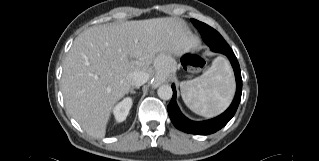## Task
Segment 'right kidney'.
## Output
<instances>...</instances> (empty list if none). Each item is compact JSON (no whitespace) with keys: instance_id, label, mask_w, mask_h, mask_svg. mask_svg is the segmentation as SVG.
<instances>
[{"instance_id":"ca27d5eb","label":"right kidney","mask_w":319,"mask_h":161,"mask_svg":"<svg viewBox=\"0 0 319 161\" xmlns=\"http://www.w3.org/2000/svg\"><path fill=\"white\" fill-rule=\"evenodd\" d=\"M131 98H124L113 109V114L117 122H122L126 119L132 106Z\"/></svg>"}]
</instances>
